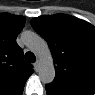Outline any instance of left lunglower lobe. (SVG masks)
Here are the masks:
<instances>
[{"label":"left lung lower lobe","mask_w":95,"mask_h":95,"mask_svg":"<svg viewBox=\"0 0 95 95\" xmlns=\"http://www.w3.org/2000/svg\"><path fill=\"white\" fill-rule=\"evenodd\" d=\"M48 95H92L93 90L76 85H46Z\"/></svg>","instance_id":"1"}]
</instances>
